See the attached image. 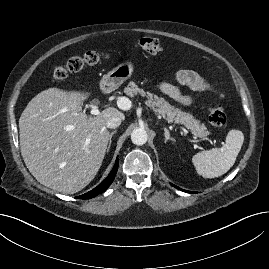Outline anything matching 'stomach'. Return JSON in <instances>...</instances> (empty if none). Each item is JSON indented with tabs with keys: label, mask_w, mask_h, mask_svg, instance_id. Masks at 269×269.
Instances as JSON below:
<instances>
[{
	"label": "stomach",
	"mask_w": 269,
	"mask_h": 269,
	"mask_svg": "<svg viewBox=\"0 0 269 269\" xmlns=\"http://www.w3.org/2000/svg\"><path fill=\"white\" fill-rule=\"evenodd\" d=\"M133 72L134 64L131 61L122 62L102 77L100 81L101 90L109 93L117 89L132 76Z\"/></svg>",
	"instance_id": "obj_1"
}]
</instances>
